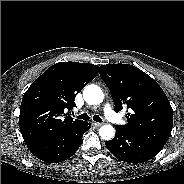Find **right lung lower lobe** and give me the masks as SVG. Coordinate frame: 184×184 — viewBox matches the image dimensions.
Listing matches in <instances>:
<instances>
[{
    "mask_svg": "<svg viewBox=\"0 0 184 184\" xmlns=\"http://www.w3.org/2000/svg\"><path fill=\"white\" fill-rule=\"evenodd\" d=\"M90 127L89 123L84 122L67 133L54 135L36 143L27 144V147L34 156L44 162H62L75 154L82 142L83 134Z\"/></svg>",
    "mask_w": 184,
    "mask_h": 184,
    "instance_id": "1",
    "label": "right lung lower lobe"
}]
</instances>
